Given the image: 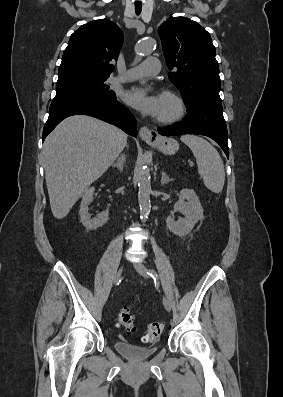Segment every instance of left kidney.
<instances>
[{"label":"left kidney","mask_w":283,"mask_h":397,"mask_svg":"<svg viewBox=\"0 0 283 397\" xmlns=\"http://www.w3.org/2000/svg\"><path fill=\"white\" fill-rule=\"evenodd\" d=\"M180 196V200L174 205V211L181 212L185 216V219L175 221L170 215L167 217L166 225L173 234L182 237L189 234L195 224L204 218V215L203 208L194 190L182 189Z\"/></svg>","instance_id":"obj_1"}]
</instances>
